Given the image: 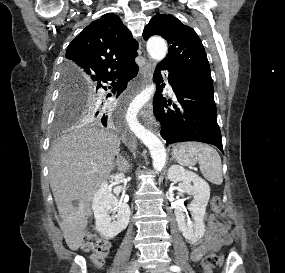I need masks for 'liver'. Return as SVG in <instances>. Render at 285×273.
<instances>
[{
	"label": "liver",
	"instance_id": "obj_1",
	"mask_svg": "<svg viewBox=\"0 0 285 273\" xmlns=\"http://www.w3.org/2000/svg\"><path fill=\"white\" fill-rule=\"evenodd\" d=\"M119 146L116 134L80 125L61 136L51 148L50 187L62 219L60 228L73 251L82 245L92 214L91 202L97 189L109 178Z\"/></svg>",
	"mask_w": 285,
	"mask_h": 273
}]
</instances>
